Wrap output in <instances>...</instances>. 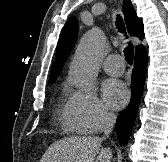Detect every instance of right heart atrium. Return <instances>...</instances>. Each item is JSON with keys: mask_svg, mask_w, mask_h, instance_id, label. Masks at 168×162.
<instances>
[{"mask_svg": "<svg viewBox=\"0 0 168 162\" xmlns=\"http://www.w3.org/2000/svg\"><path fill=\"white\" fill-rule=\"evenodd\" d=\"M68 123L84 133H98L111 124L113 115L93 90H74L65 107Z\"/></svg>", "mask_w": 168, "mask_h": 162, "instance_id": "right-heart-atrium-1", "label": "right heart atrium"}]
</instances>
